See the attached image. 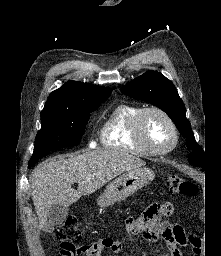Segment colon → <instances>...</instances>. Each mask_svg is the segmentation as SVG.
Instances as JSON below:
<instances>
[{
    "label": "colon",
    "mask_w": 221,
    "mask_h": 256,
    "mask_svg": "<svg viewBox=\"0 0 221 256\" xmlns=\"http://www.w3.org/2000/svg\"><path fill=\"white\" fill-rule=\"evenodd\" d=\"M167 186L172 193L188 196H193L197 193V187L193 182L177 175L169 176ZM54 235L61 242L62 254H78L80 252L77 242L81 237V229L77 217H68L61 225L56 227ZM190 241L196 256H199L200 239L192 237Z\"/></svg>",
    "instance_id": "obj_1"
}]
</instances>
